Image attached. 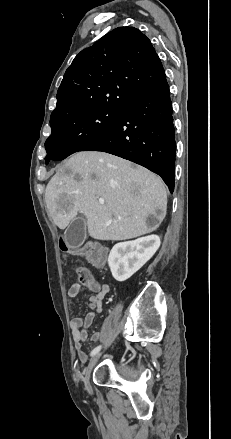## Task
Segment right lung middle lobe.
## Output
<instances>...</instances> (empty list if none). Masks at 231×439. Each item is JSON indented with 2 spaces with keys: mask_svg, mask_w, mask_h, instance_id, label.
Wrapping results in <instances>:
<instances>
[{
  "mask_svg": "<svg viewBox=\"0 0 231 439\" xmlns=\"http://www.w3.org/2000/svg\"><path fill=\"white\" fill-rule=\"evenodd\" d=\"M121 113L108 108H91L51 119L52 133L45 142L46 164L83 151L111 129Z\"/></svg>",
  "mask_w": 231,
  "mask_h": 439,
  "instance_id": "right-lung-middle-lobe-1",
  "label": "right lung middle lobe"
}]
</instances>
